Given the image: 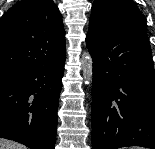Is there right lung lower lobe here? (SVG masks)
I'll return each mask as SVG.
<instances>
[{"label": "right lung lower lobe", "instance_id": "1", "mask_svg": "<svg viewBox=\"0 0 155 149\" xmlns=\"http://www.w3.org/2000/svg\"><path fill=\"white\" fill-rule=\"evenodd\" d=\"M65 54L0 86V137L30 149H54Z\"/></svg>", "mask_w": 155, "mask_h": 149}]
</instances>
